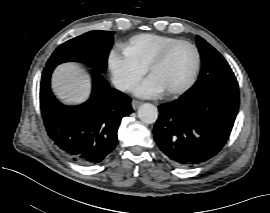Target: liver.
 Returning <instances> with one entry per match:
<instances>
[{
	"label": "liver",
	"instance_id": "1",
	"mask_svg": "<svg viewBox=\"0 0 270 213\" xmlns=\"http://www.w3.org/2000/svg\"><path fill=\"white\" fill-rule=\"evenodd\" d=\"M55 94L66 103H81L90 93V80L85 72L74 63L57 67L52 78Z\"/></svg>",
	"mask_w": 270,
	"mask_h": 213
}]
</instances>
